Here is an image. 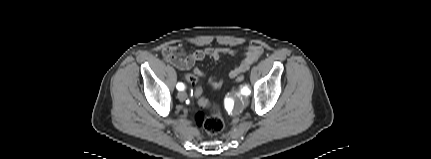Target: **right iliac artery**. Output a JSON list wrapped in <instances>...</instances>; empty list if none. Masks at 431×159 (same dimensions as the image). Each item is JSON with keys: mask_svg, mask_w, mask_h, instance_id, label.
<instances>
[{"mask_svg": "<svg viewBox=\"0 0 431 159\" xmlns=\"http://www.w3.org/2000/svg\"><path fill=\"white\" fill-rule=\"evenodd\" d=\"M176 88H177L179 91H182V90H184V89H185V85H184L183 83H178V84H177V86H176Z\"/></svg>", "mask_w": 431, "mask_h": 159, "instance_id": "obj_1", "label": "right iliac artery"}]
</instances>
